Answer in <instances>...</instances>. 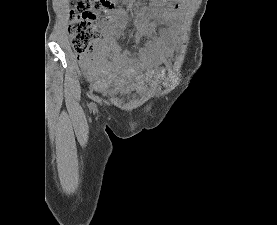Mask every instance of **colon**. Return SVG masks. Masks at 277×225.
Returning <instances> with one entry per match:
<instances>
[{"label":"colon","instance_id":"colon-1","mask_svg":"<svg viewBox=\"0 0 277 225\" xmlns=\"http://www.w3.org/2000/svg\"><path fill=\"white\" fill-rule=\"evenodd\" d=\"M72 13L69 32L71 45L79 55L90 54L94 51L100 38L96 25L98 17H105L113 8L111 0H71Z\"/></svg>","mask_w":277,"mask_h":225}]
</instances>
